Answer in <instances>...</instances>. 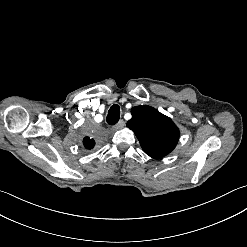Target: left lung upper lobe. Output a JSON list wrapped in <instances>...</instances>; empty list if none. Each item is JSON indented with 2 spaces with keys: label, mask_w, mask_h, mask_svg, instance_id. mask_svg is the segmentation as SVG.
Wrapping results in <instances>:
<instances>
[{
  "label": "left lung upper lobe",
  "mask_w": 247,
  "mask_h": 247,
  "mask_svg": "<svg viewBox=\"0 0 247 247\" xmlns=\"http://www.w3.org/2000/svg\"><path fill=\"white\" fill-rule=\"evenodd\" d=\"M131 113L127 127L134 131L147 155L158 159L175 148L179 130L169 117L146 105L132 108Z\"/></svg>",
  "instance_id": "5c2ea615"
}]
</instances>
